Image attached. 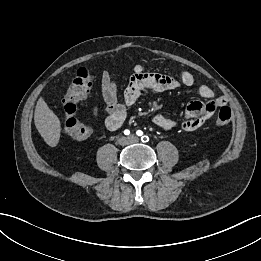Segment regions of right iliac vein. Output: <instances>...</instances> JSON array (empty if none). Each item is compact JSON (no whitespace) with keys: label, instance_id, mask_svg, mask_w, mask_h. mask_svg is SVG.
Segmentation results:
<instances>
[{"label":"right iliac vein","instance_id":"63e3f726","mask_svg":"<svg viewBox=\"0 0 261 261\" xmlns=\"http://www.w3.org/2000/svg\"><path fill=\"white\" fill-rule=\"evenodd\" d=\"M128 142V138H126V137H121L120 139H119V143L120 144H126Z\"/></svg>","mask_w":261,"mask_h":261}]
</instances>
